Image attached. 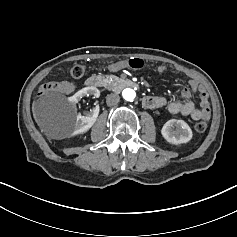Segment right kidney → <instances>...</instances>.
<instances>
[{
    "mask_svg": "<svg viewBox=\"0 0 237 237\" xmlns=\"http://www.w3.org/2000/svg\"><path fill=\"white\" fill-rule=\"evenodd\" d=\"M84 96L98 98L100 96V91L94 86L85 87L69 97V101L73 104H77ZM98 114L99 105H96L92 110L85 112L84 115L77 114L73 135L87 132L96 122Z\"/></svg>",
    "mask_w": 237,
    "mask_h": 237,
    "instance_id": "1",
    "label": "right kidney"
}]
</instances>
